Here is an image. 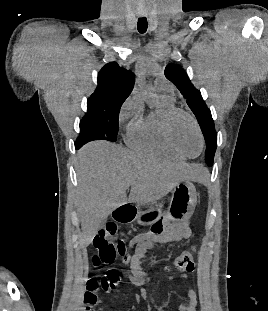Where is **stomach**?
<instances>
[{"mask_svg":"<svg viewBox=\"0 0 268 311\" xmlns=\"http://www.w3.org/2000/svg\"><path fill=\"white\" fill-rule=\"evenodd\" d=\"M197 201L195 186L189 181L178 182L172 189L169 219L182 222L191 217ZM157 214L153 211L138 212L136 221L140 225L151 224Z\"/></svg>","mask_w":268,"mask_h":311,"instance_id":"1","label":"stomach"}]
</instances>
